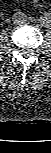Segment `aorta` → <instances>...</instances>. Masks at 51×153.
<instances>
[{"mask_svg": "<svg viewBox=\"0 0 51 153\" xmlns=\"http://www.w3.org/2000/svg\"><path fill=\"white\" fill-rule=\"evenodd\" d=\"M41 25L45 28H48L51 26V15L45 14L41 16Z\"/></svg>", "mask_w": 51, "mask_h": 153, "instance_id": "obj_1", "label": "aorta"}]
</instances>
